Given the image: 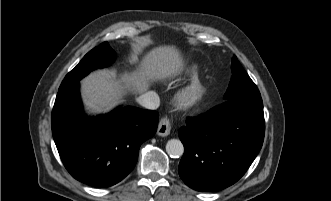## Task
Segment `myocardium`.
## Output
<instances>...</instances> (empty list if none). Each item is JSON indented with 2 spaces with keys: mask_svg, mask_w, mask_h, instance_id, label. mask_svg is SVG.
Instances as JSON below:
<instances>
[{
  "mask_svg": "<svg viewBox=\"0 0 331 201\" xmlns=\"http://www.w3.org/2000/svg\"><path fill=\"white\" fill-rule=\"evenodd\" d=\"M194 95L196 97L197 93H195ZM181 99H182V101H186L187 100V97L183 96Z\"/></svg>",
  "mask_w": 331,
  "mask_h": 201,
  "instance_id": "obj_1",
  "label": "myocardium"
}]
</instances>
